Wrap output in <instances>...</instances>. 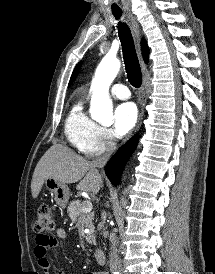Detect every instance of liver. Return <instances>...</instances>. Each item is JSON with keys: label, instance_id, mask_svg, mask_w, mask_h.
Masks as SVG:
<instances>
[{"label": "liver", "instance_id": "obj_1", "mask_svg": "<svg viewBox=\"0 0 215 274\" xmlns=\"http://www.w3.org/2000/svg\"><path fill=\"white\" fill-rule=\"evenodd\" d=\"M53 177L62 183H76L77 190L97 194L103 186L99 172L82 156L69 148L54 144L42 156L33 173L32 197H38L46 178Z\"/></svg>", "mask_w": 215, "mask_h": 274}]
</instances>
